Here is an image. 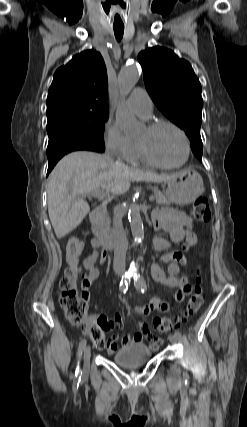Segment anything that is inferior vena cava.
Wrapping results in <instances>:
<instances>
[{
  "label": "inferior vena cava",
  "mask_w": 247,
  "mask_h": 427,
  "mask_svg": "<svg viewBox=\"0 0 247 427\" xmlns=\"http://www.w3.org/2000/svg\"><path fill=\"white\" fill-rule=\"evenodd\" d=\"M111 232L114 241L113 269L116 273H120L125 269L127 240L123 229L122 217L117 208L114 209L113 227Z\"/></svg>",
  "instance_id": "inferior-vena-cava-1"
}]
</instances>
